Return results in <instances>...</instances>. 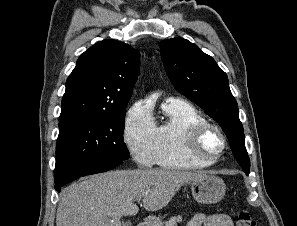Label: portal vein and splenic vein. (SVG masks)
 I'll return each mask as SVG.
<instances>
[{"mask_svg": "<svg viewBox=\"0 0 297 226\" xmlns=\"http://www.w3.org/2000/svg\"><path fill=\"white\" fill-rule=\"evenodd\" d=\"M141 199H142V197H137V198H136V201H137V202H140Z\"/></svg>", "mask_w": 297, "mask_h": 226, "instance_id": "obj_1", "label": "portal vein and splenic vein"}]
</instances>
